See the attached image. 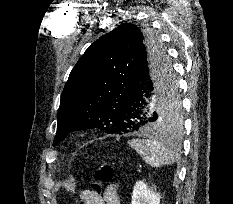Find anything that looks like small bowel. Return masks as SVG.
I'll return each mask as SVG.
<instances>
[{"instance_id":"obj_1","label":"small bowel","mask_w":233,"mask_h":204,"mask_svg":"<svg viewBox=\"0 0 233 204\" xmlns=\"http://www.w3.org/2000/svg\"><path fill=\"white\" fill-rule=\"evenodd\" d=\"M79 199L83 204H121L116 184L109 185L105 191L99 195H95L89 190H83L79 193Z\"/></svg>"}]
</instances>
